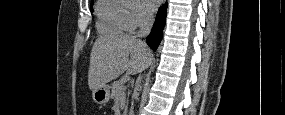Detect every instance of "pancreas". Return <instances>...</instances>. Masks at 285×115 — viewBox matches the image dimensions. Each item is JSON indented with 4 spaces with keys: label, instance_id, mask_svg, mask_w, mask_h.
<instances>
[{
    "label": "pancreas",
    "instance_id": "1",
    "mask_svg": "<svg viewBox=\"0 0 285 115\" xmlns=\"http://www.w3.org/2000/svg\"><path fill=\"white\" fill-rule=\"evenodd\" d=\"M126 87L119 81L113 82L111 86V98L118 99Z\"/></svg>",
    "mask_w": 285,
    "mask_h": 115
}]
</instances>
